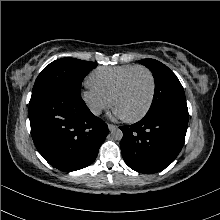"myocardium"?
Returning <instances> with one entry per match:
<instances>
[{
  "label": "myocardium",
  "instance_id": "f54148a6",
  "mask_svg": "<svg viewBox=\"0 0 220 220\" xmlns=\"http://www.w3.org/2000/svg\"><path fill=\"white\" fill-rule=\"evenodd\" d=\"M139 70L145 71L148 74V76L150 78V81H151V93H150L149 101H148L146 107L144 108V110L141 113H139L138 115H136L134 117H126L125 118L126 121L131 122V123L138 122L141 119H143L148 114V112L150 111V109L153 105L154 98H155V93H156V80H155L153 72L145 66H136L135 68H133L131 71H129L123 77V79L120 81L118 86L115 88V90L112 93V96L110 98L111 103L114 106V102H115L116 97L124 90V88L127 85L129 79L131 78V76Z\"/></svg>",
  "mask_w": 220,
  "mask_h": 220
}]
</instances>
